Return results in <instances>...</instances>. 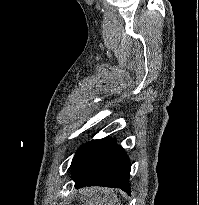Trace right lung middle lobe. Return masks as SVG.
<instances>
[{
	"label": "right lung middle lobe",
	"instance_id": "right-lung-middle-lobe-1",
	"mask_svg": "<svg viewBox=\"0 0 199 205\" xmlns=\"http://www.w3.org/2000/svg\"><path fill=\"white\" fill-rule=\"evenodd\" d=\"M108 138H103V139H97V140H92L90 142H87L86 144L82 145L76 152L73 160H72V165L76 163L78 160H80L82 157L87 155L89 152L92 150L96 149L97 147L101 146L104 144Z\"/></svg>",
	"mask_w": 199,
	"mask_h": 205
}]
</instances>
